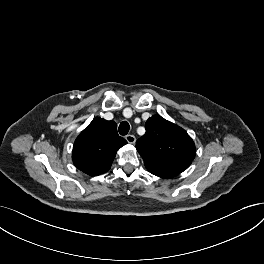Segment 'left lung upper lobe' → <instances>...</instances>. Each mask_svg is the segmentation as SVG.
I'll list each match as a JSON object with an SVG mask.
<instances>
[{
    "label": "left lung upper lobe",
    "mask_w": 264,
    "mask_h": 264,
    "mask_svg": "<svg viewBox=\"0 0 264 264\" xmlns=\"http://www.w3.org/2000/svg\"><path fill=\"white\" fill-rule=\"evenodd\" d=\"M136 149L145 166L183 172L195 157V144L187 132L160 115L149 118Z\"/></svg>",
    "instance_id": "1"
}]
</instances>
